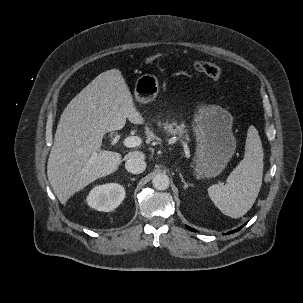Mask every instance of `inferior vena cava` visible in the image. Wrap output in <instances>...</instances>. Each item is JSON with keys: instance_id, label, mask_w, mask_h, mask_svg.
<instances>
[{"instance_id": "602c4592", "label": "inferior vena cava", "mask_w": 303, "mask_h": 303, "mask_svg": "<svg viewBox=\"0 0 303 303\" xmlns=\"http://www.w3.org/2000/svg\"><path fill=\"white\" fill-rule=\"evenodd\" d=\"M125 168L132 174H140L146 169V163L141 157H133L125 162Z\"/></svg>"}]
</instances>
